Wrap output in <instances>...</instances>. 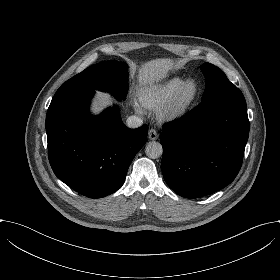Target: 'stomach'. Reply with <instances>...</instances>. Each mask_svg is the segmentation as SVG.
I'll use <instances>...</instances> for the list:
<instances>
[{
  "instance_id": "stomach-1",
  "label": "stomach",
  "mask_w": 280,
  "mask_h": 280,
  "mask_svg": "<svg viewBox=\"0 0 280 280\" xmlns=\"http://www.w3.org/2000/svg\"><path fill=\"white\" fill-rule=\"evenodd\" d=\"M180 61H181L180 59H177V60H174V59H173V60H172V62H173V64H174V65L179 64V63H180Z\"/></svg>"
}]
</instances>
